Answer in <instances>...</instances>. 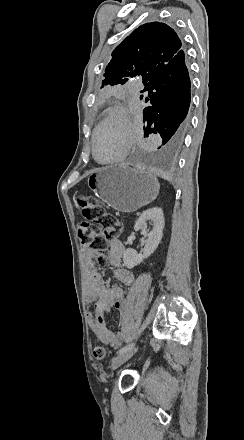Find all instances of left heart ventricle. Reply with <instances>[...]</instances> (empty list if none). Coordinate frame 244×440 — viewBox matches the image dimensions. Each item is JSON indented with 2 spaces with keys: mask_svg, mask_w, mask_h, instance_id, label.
<instances>
[{
  "mask_svg": "<svg viewBox=\"0 0 244 440\" xmlns=\"http://www.w3.org/2000/svg\"><path fill=\"white\" fill-rule=\"evenodd\" d=\"M113 115L111 123L106 125L98 133L95 141L96 155L99 160H107L114 157L119 148L118 128L127 126L126 119L119 111Z\"/></svg>",
  "mask_w": 244,
  "mask_h": 440,
  "instance_id": "left-heart-ventricle-1",
  "label": "left heart ventricle"
}]
</instances>
